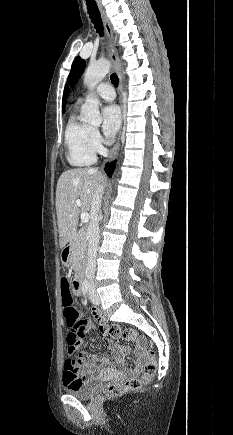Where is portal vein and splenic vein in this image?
<instances>
[{
  "label": "portal vein and splenic vein",
  "mask_w": 233,
  "mask_h": 435,
  "mask_svg": "<svg viewBox=\"0 0 233 435\" xmlns=\"http://www.w3.org/2000/svg\"><path fill=\"white\" fill-rule=\"evenodd\" d=\"M81 201L80 200H76V205L77 206H81ZM81 221L83 222V223H87L88 221H89V214L87 213V212H82L81 213Z\"/></svg>",
  "instance_id": "obj_1"
}]
</instances>
